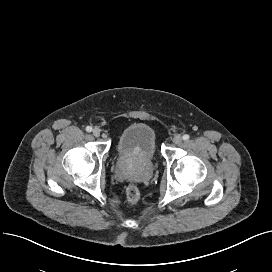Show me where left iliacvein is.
<instances>
[{
  "mask_svg": "<svg viewBox=\"0 0 272 272\" xmlns=\"http://www.w3.org/2000/svg\"><path fill=\"white\" fill-rule=\"evenodd\" d=\"M182 141V137L180 135H175L173 138H172V142L174 144H179L180 142Z\"/></svg>",
  "mask_w": 272,
  "mask_h": 272,
  "instance_id": "1",
  "label": "left iliac vein"
}]
</instances>
